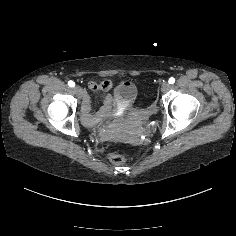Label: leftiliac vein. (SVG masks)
I'll use <instances>...</instances> for the list:
<instances>
[{
  "mask_svg": "<svg viewBox=\"0 0 236 236\" xmlns=\"http://www.w3.org/2000/svg\"><path fill=\"white\" fill-rule=\"evenodd\" d=\"M169 89H170V84H169V83H164V84H162L161 90H162L163 92H167Z\"/></svg>",
  "mask_w": 236,
  "mask_h": 236,
  "instance_id": "obj_1",
  "label": "left iliac vein"
}]
</instances>
